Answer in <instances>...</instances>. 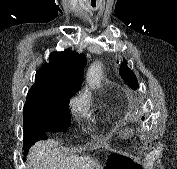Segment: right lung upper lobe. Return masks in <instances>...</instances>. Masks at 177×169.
I'll use <instances>...</instances> for the list:
<instances>
[{
	"mask_svg": "<svg viewBox=\"0 0 177 169\" xmlns=\"http://www.w3.org/2000/svg\"><path fill=\"white\" fill-rule=\"evenodd\" d=\"M86 61L84 54L70 49L51 53L50 62L37 71L26 103L70 100L82 83Z\"/></svg>",
	"mask_w": 177,
	"mask_h": 169,
	"instance_id": "right-lung-upper-lobe-1",
	"label": "right lung upper lobe"
}]
</instances>
